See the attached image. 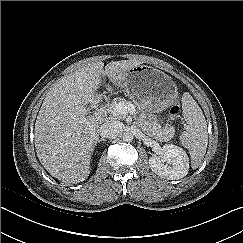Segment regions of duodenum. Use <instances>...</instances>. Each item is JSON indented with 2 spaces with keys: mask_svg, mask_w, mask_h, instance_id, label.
I'll return each mask as SVG.
<instances>
[{
  "mask_svg": "<svg viewBox=\"0 0 243 243\" xmlns=\"http://www.w3.org/2000/svg\"><path fill=\"white\" fill-rule=\"evenodd\" d=\"M94 109L96 111L98 119H103L107 110L109 99L104 95H98L94 100Z\"/></svg>",
  "mask_w": 243,
  "mask_h": 243,
  "instance_id": "obj_1",
  "label": "duodenum"
}]
</instances>
